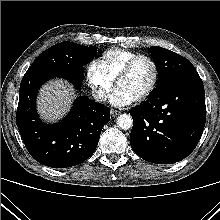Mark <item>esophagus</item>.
<instances>
[{"instance_id":"34e87169","label":"esophagus","mask_w":220,"mask_h":220,"mask_svg":"<svg viewBox=\"0 0 220 220\" xmlns=\"http://www.w3.org/2000/svg\"><path fill=\"white\" fill-rule=\"evenodd\" d=\"M110 113H111V115H112L113 117H115V116H117V115L120 114V111L115 110V109H111Z\"/></svg>"}]
</instances>
